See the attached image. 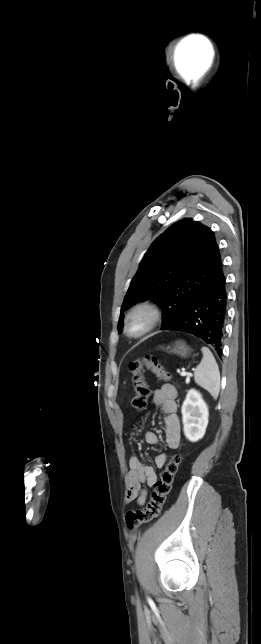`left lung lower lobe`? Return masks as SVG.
<instances>
[{"label":"left lung lower lobe","mask_w":261,"mask_h":644,"mask_svg":"<svg viewBox=\"0 0 261 644\" xmlns=\"http://www.w3.org/2000/svg\"><path fill=\"white\" fill-rule=\"evenodd\" d=\"M226 314V278L221 263L181 316L162 330L182 331L195 335L212 345L216 352L221 354Z\"/></svg>","instance_id":"obj_1"}]
</instances>
